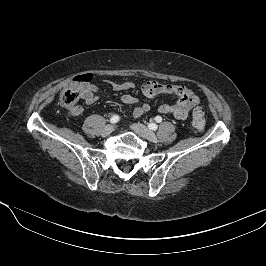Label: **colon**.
I'll use <instances>...</instances> for the list:
<instances>
[{
	"label": "colon",
	"mask_w": 266,
	"mask_h": 266,
	"mask_svg": "<svg viewBox=\"0 0 266 266\" xmlns=\"http://www.w3.org/2000/svg\"><path fill=\"white\" fill-rule=\"evenodd\" d=\"M91 80L90 75L75 78L60 95L61 105L69 112L77 107L81 95V87ZM191 127L193 132L201 133L205 128V115L201 107H196L192 113Z\"/></svg>",
	"instance_id": "5ec220e1"
}]
</instances>
